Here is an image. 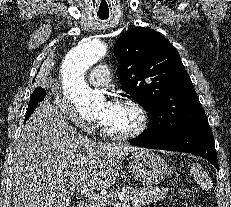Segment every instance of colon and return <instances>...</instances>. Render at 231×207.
<instances>
[{"label": "colon", "mask_w": 231, "mask_h": 207, "mask_svg": "<svg viewBox=\"0 0 231 207\" xmlns=\"http://www.w3.org/2000/svg\"><path fill=\"white\" fill-rule=\"evenodd\" d=\"M181 196L186 199L185 207H199V205L192 200L193 190L189 186H181L180 187Z\"/></svg>", "instance_id": "obj_1"}]
</instances>
